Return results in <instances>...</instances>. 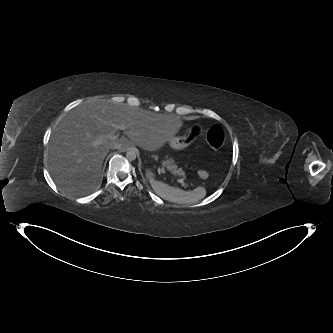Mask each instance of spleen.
I'll return each mask as SVG.
<instances>
[{"label": "spleen", "instance_id": "3e777b00", "mask_svg": "<svg viewBox=\"0 0 333 333\" xmlns=\"http://www.w3.org/2000/svg\"><path fill=\"white\" fill-rule=\"evenodd\" d=\"M147 176L153 190L164 199L180 203H195L206 196V190L204 187H197L192 191L186 192L171 187L161 181H157L155 175L150 171L147 172Z\"/></svg>", "mask_w": 333, "mask_h": 333}]
</instances>
